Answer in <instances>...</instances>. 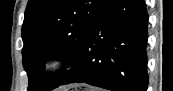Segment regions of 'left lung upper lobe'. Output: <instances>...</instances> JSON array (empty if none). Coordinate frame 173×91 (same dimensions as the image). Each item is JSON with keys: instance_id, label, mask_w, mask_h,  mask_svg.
Wrapping results in <instances>:
<instances>
[{"instance_id": "5c2ea615", "label": "left lung upper lobe", "mask_w": 173, "mask_h": 91, "mask_svg": "<svg viewBox=\"0 0 173 91\" xmlns=\"http://www.w3.org/2000/svg\"><path fill=\"white\" fill-rule=\"evenodd\" d=\"M110 0H29L22 26L23 65L28 73L27 91H50L64 80L63 69L45 76L44 61L58 57L71 67L77 61L101 12Z\"/></svg>"}]
</instances>
